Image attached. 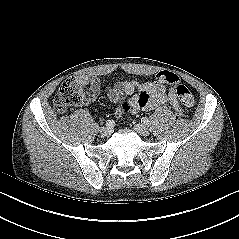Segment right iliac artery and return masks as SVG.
Instances as JSON below:
<instances>
[{
  "mask_svg": "<svg viewBox=\"0 0 239 239\" xmlns=\"http://www.w3.org/2000/svg\"><path fill=\"white\" fill-rule=\"evenodd\" d=\"M106 126L109 127V128L113 127L114 126V121L108 120L106 122Z\"/></svg>",
  "mask_w": 239,
  "mask_h": 239,
  "instance_id": "obj_1",
  "label": "right iliac artery"
}]
</instances>
